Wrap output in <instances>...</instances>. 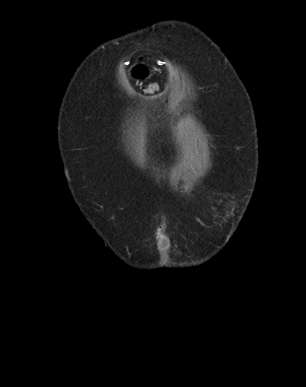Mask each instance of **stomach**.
I'll return each mask as SVG.
<instances>
[{"label": "stomach", "instance_id": "1", "mask_svg": "<svg viewBox=\"0 0 306 387\" xmlns=\"http://www.w3.org/2000/svg\"><path fill=\"white\" fill-rule=\"evenodd\" d=\"M128 73H132L136 82H153V75H144L145 66H128Z\"/></svg>", "mask_w": 306, "mask_h": 387}]
</instances>
